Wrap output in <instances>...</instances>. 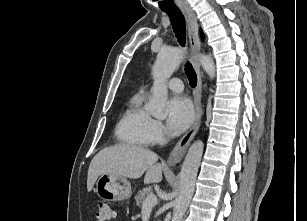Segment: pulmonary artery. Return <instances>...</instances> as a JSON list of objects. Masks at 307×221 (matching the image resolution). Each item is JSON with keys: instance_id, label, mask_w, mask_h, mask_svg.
I'll list each match as a JSON object with an SVG mask.
<instances>
[{"instance_id": "e3ab8cb5", "label": "pulmonary artery", "mask_w": 307, "mask_h": 221, "mask_svg": "<svg viewBox=\"0 0 307 221\" xmlns=\"http://www.w3.org/2000/svg\"><path fill=\"white\" fill-rule=\"evenodd\" d=\"M167 87L168 89H170L171 91H174V92H182L183 91V88H184V85H183V82L178 79V78H174V79H171L168 83H167Z\"/></svg>"}]
</instances>
